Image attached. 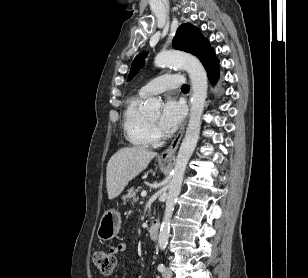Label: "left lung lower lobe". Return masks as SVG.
Masks as SVG:
<instances>
[{
  "label": "left lung lower lobe",
  "instance_id": "obj_1",
  "mask_svg": "<svg viewBox=\"0 0 308 278\" xmlns=\"http://www.w3.org/2000/svg\"><path fill=\"white\" fill-rule=\"evenodd\" d=\"M208 77L210 81L215 82L219 77V65H216L214 68L207 70Z\"/></svg>",
  "mask_w": 308,
  "mask_h": 278
}]
</instances>
